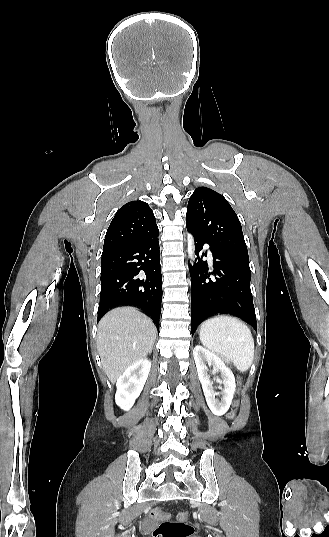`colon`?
Here are the masks:
<instances>
[{
  "label": "colon",
  "mask_w": 329,
  "mask_h": 537,
  "mask_svg": "<svg viewBox=\"0 0 329 537\" xmlns=\"http://www.w3.org/2000/svg\"><path fill=\"white\" fill-rule=\"evenodd\" d=\"M237 402L229 412V418H234L236 413ZM170 513L167 510H154L152 517L154 519H163L153 532V537H191L194 534V527L190 523V514L187 511H181L176 516V521L169 519Z\"/></svg>",
  "instance_id": "5ec220e1"
}]
</instances>
